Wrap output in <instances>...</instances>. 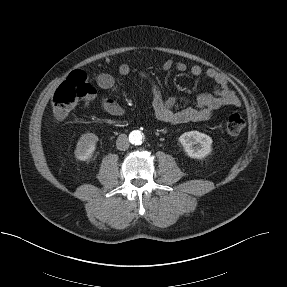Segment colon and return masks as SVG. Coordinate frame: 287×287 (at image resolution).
<instances>
[{
  "mask_svg": "<svg viewBox=\"0 0 287 287\" xmlns=\"http://www.w3.org/2000/svg\"><path fill=\"white\" fill-rule=\"evenodd\" d=\"M96 93L84 71L77 70L57 88L52 98V109L58 119L68 117L81 101L90 100ZM245 126L244 118L238 113H230L225 119V130L229 135H238Z\"/></svg>",
  "mask_w": 287,
  "mask_h": 287,
  "instance_id": "5ec220e1",
  "label": "colon"
}]
</instances>
